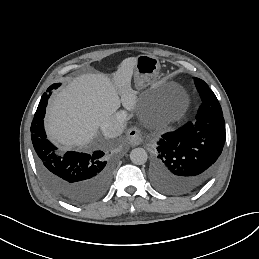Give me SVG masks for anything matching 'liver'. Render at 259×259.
<instances>
[{
	"mask_svg": "<svg viewBox=\"0 0 259 259\" xmlns=\"http://www.w3.org/2000/svg\"><path fill=\"white\" fill-rule=\"evenodd\" d=\"M137 58L122 63L111 81L107 75L84 74L73 79L49 103L45 116L48 138L68 150L89 144L101 124L120 107L121 96L132 92Z\"/></svg>",
	"mask_w": 259,
	"mask_h": 259,
	"instance_id": "liver-1",
	"label": "liver"
}]
</instances>
